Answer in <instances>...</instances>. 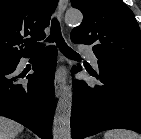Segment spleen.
Segmentation results:
<instances>
[{"instance_id":"obj_1","label":"spleen","mask_w":141,"mask_h":139,"mask_svg":"<svg viewBox=\"0 0 141 139\" xmlns=\"http://www.w3.org/2000/svg\"><path fill=\"white\" fill-rule=\"evenodd\" d=\"M104 139H141V136L129 130H109L105 132Z\"/></svg>"}]
</instances>
